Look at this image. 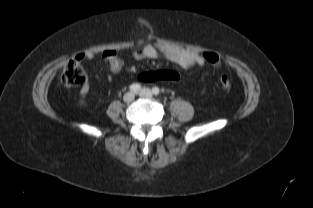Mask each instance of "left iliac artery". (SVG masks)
<instances>
[{
	"instance_id": "1",
	"label": "left iliac artery",
	"mask_w": 313,
	"mask_h": 208,
	"mask_svg": "<svg viewBox=\"0 0 313 208\" xmlns=\"http://www.w3.org/2000/svg\"><path fill=\"white\" fill-rule=\"evenodd\" d=\"M152 92H153L154 95H158L160 93V89L158 87H154L152 89Z\"/></svg>"
}]
</instances>
